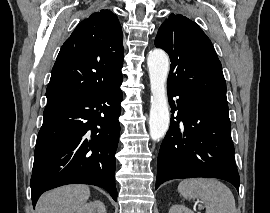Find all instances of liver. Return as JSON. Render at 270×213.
<instances>
[{"instance_id":"6515ba94","label":"liver","mask_w":270,"mask_h":213,"mask_svg":"<svg viewBox=\"0 0 270 213\" xmlns=\"http://www.w3.org/2000/svg\"><path fill=\"white\" fill-rule=\"evenodd\" d=\"M90 197L85 185H69L44 193L38 200L37 213H74Z\"/></svg>"}]
</instances>
